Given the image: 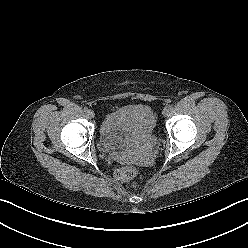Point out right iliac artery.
Wrapping results in <instances>:
<instances>
[{
	"mask_svg": "<svg viewBox=\"0 0 248 248\" xmlns=\"http://www.w3.org/2000/svg\"><path fill=\"white\" fill-rule=\"evenodd\" d=\"M88 111H89V109H88L87 107H85V108H84V112L87 113Z\"/></svg>",
	"mask_w": 248,
	"mask_h": 248,
	"instance_id": "82829eb1",
	"label": "right iliac artery"
}]
</instances>
